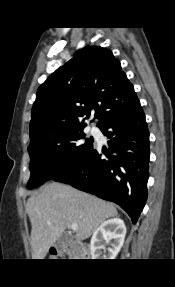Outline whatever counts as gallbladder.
Listing matches in <instances>:
<instances>
[{"label":"gallbladder","instance_id":"1","mask_svg":"<svg viewBox=\"0 0 175 287\" xmlns=\"http://www.w3.org/2000/svg\"><path fill=\"white\" fill-rule=\"evenodd\" d=\"M72 238H73V234L65 232V233L60 235V237L58 238V242L61 244V243H64V242H66Z\"/></svg>","mask_w":175,"mask_h":287}]
</instances>
